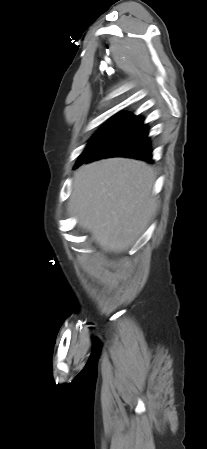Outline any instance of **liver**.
Listing matches in <instances>:
<instances>
[{"mask_svg": "<svg viewBox=\"0 0 207 449\" xmlns=\"http://www.w3.org/2000/svg\"><path fill=\"white\" fill-rule=\"evenodd\" d=\"M154 182L153 169L139 160L83 165L74 173L68 212L102 249L121 253L142 235L156 210Z\"/></svg>", "mask_w": 207, "mask_h": 449, "instance_id": "liver-1", "label": "liver"}]
</instances>
